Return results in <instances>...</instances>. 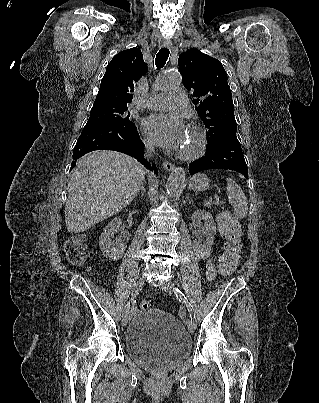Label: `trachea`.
<instances>
[{
  "instance_id": "3493384b",
  "label": "trachea",
  "mask_w": 319,
  "mask_h": 403,
  "mask_svg": "<svg viewBox=\"0 0 319 403\" xmlns=\"http://www.w3.org/2000/svg\"><path fill=\"white\" fill-rule=\"evenodd\" d=\"M169 50L167 48H162L156 55L155 64L158 69L162 68L168 57H169Z\"/></svg>"
}]
</instances>
